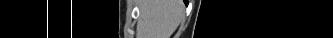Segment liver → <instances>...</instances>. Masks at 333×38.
I'll return each mask as SVG.
<instances>
[{
  "label": "liver",
  "mask_w": 333,
  "mask_h": 38,
  "mask_svg": "<svg viewBox=\"0 0 333 38\" xmlns=\"http://www.w3.org/2000/svg\"><path fill=\"white\" fill-rule=\"evenodd\" d=\"M138 38H170L184 14L181 0H142Z\"/></svg>",
  "instance_id": "liver-1"
}]
</instances>
